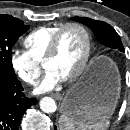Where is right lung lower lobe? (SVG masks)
Listing matches in <instances>:
<instances>
[{"label": "right lung lower lobe", "instance_id": "98d812e1", "mask_svg": "<svg viewBox=\"0 0 130 130\" xmlns=\"http://www.w3.org/2000/svg\"><path fill=\"white\" fill-rule=\"evenodd\" d=\"M36 102L25 96L15 74L0 68V130H18L25 111Z\"/></svg>", "mask_w": 130, "mask_h": 130}]
</instances>
